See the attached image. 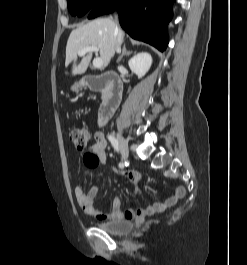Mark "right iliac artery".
<instances>
[{
    "label": "right iliac artery",
    "instance_id": "obj_1",
    "mask_svg": "<svg viewBox=\"0 0 247 265\" xmlns=\"http://www.w3.org/2000/svg\"><path fill=\"white\" fill-rule=\"evenodd\" d=\"M108 139L111 142V144L113 145V147L116 149V151H118L119 150L118 141L114 138V136L113 135H108ZM119 167L123 168L124 167V163L120 162L119 163Z\"/></svg>",
    "mask_w": 247,
    "mask_h": 265
}]
</instances>
